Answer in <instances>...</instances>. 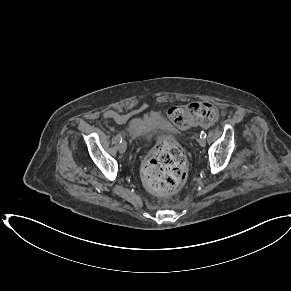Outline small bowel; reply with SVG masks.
Here are the masks:
<instances>
[{
  "mask_svg": "<svg viewBox=\"0 0 291 291\" xmlns=\"http://www.w3.org/2000/svg\"><path fill=\"white\" fill-rule=\"evenodd\" d=\"M103 117L105 119H109V120H114L116 122H123L126 120L125 115L118 113L116 111L113 110H107L104 112Z\"/></svg>",
  "mask_w": 291,
  "mask_h": 291,
  "instance_id": "obj_1",
  "label": "small bowel"
}]
</instances>
